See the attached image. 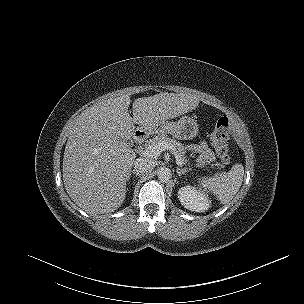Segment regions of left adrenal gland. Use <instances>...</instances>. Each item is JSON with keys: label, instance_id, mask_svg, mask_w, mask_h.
<instances>
[{"label": "left adrenal gland", "instance_id": "a2214340", "mask_svg": "<svg viewBox=\"0 0 304 304\" xmlns=\"http://www.w3.org/2000/svg\"><path fill=\"white\" fill-rule=\"evenodd\" d=\"M189 170H190V169H188V168H182V169L177 168V169H176V172H177V174H178L179 176H182V175H185L187 172H189Z\"/></svg>", "mask_w": 304, "mask_h": 304}]
</instances>
